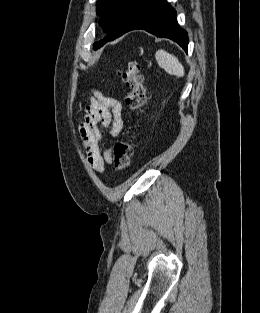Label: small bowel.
<instances>
[{"mask_svg":"<svg viewBox=\"0 0 260 313\" xmlns=\"http://www.w3.org/2000/svg\"><path fill=\"white\" fill-rule=\"evenodd\" d=\"M121 112L120 100L95 90L79 124V134L87 162L98 174L104 172L105 164L111 163L113 158L111 148L101 149L99 146L101 139L99 124L108 127L112 136H118L123 127Z\"/></svg>","mask_w":260,"mask_h":313,"instance_id":"c3829d8e","label":"small bowel"}]
</instances>
